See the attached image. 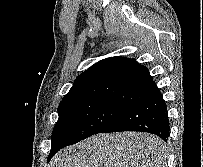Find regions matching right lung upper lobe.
<instances>
[{
  "label": "right lung upper lobe",
  "mask_w": 203,
  "mask_h": 167,
  "mask_svg": "<svg viewBox=\"0 0 203 167\" xmlns=\"http://www.w3.org/2000/svg\"><path fill=\"white\" fill-rule=\"evenodd\" d=\"M158 90L148 69L135 59L110 57L80 74L60 105L80 99H105L131 106Z\"/></svg>",
  "instance_id": "obj_1"
}]
</instances>
